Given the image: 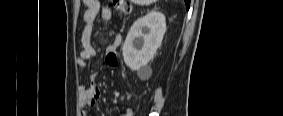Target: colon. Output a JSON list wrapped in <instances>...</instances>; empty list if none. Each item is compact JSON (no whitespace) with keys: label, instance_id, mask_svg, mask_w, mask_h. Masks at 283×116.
<instances>
[{"label":"colon","instance_id":"colon-1","mask_svg":"<svg viewBox=\"0 0 283 116\" xmlns=\"http://www.w3.org/2000/svg\"><path fill=\"white\" fill-rule=\"evenodd\" d=\"M113 6L116 11L121 13L127 14L131 11L130 1L127 0H113Z\"/></svg>","mask_w":283,"mask_h":116}]
</instances>
